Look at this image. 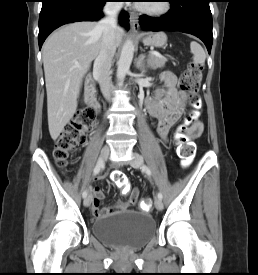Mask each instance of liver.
I'll list each match as a JSON object with an SVG mask.
<instances>
[{"label": "liver", "mask_w": 258, "mask_h": 275, "mask_svg": "<svg viewBox=\"0 0 258 275\" xmlns=\"http://www.w3.org/2000/svg\"><path fill=\"white\" fill-rule=\"evenodd\" d=\"M123 29L117 27V46ZM103 31L95 22H76L52 33L43 45L49 133L56 140L77 109L82 80L98 56Z\"/></svg>", "instance_id": "1"}]
</instances>
